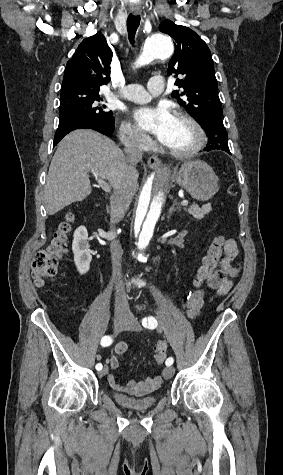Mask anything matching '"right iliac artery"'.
Masks as SVG:
<instances>
[{"mask_svg": "<svg viewBox=\"0 0 283 475\" xmlns=\"http://www.w3.org/2000/svg\"><path fill=\"white\" fill-rule=\"evenodd\" d=\"M112 341H113L112 337H110V336H104V337L101 339V345L104 346V347L109 346V345H111ZM102 367H103V366H102L101 363H98V364L95 366L96 370H98V371H100V370L102 369Z\"/></svg>", "mask_w": 283, "mask_h": 475, "instance_id": "1", "label": "right iliac artery"}]
</instances>
